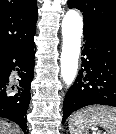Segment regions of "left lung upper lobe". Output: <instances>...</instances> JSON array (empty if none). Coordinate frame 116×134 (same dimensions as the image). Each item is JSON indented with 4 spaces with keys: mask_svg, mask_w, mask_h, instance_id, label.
Instances as JSON below:
<instances>
[{
    "mask_svg": "<svg viewBox=\"0 0 116 134\" xmlns=\"http://www.w3.org/2000/svg\"><path fill=\"white\" fill-rule=\"evenodd\" d=\"M68 7L82 12L84 28H100L116 33V0H68Z\"/></svg>",
    "mask_w": 116,
    "mask_h": 134,
    "instance_id": "obj_1",
    "label": "left lung upper lobe"
}]
</instances>
